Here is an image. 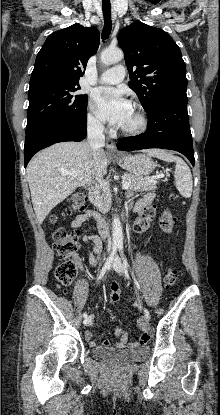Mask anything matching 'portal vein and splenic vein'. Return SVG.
<instances>
[{
    "instance_id": "18ae733b",
    "label": "portal vein and splenic vein",
    "mask_w": 220,
    "mask_h": 415,
    "mask_svg": "<svg viewBox=\"0 0 220 415\" xmlns=\"http://www.w3.org/2000/svg\"><path fill=\"white\" fill-rule=\"evenodd\" d=\"M64 174L65 175H71L73 177H76L79 173L78 172H66ZM163 177H164V175L161 173V174H159L157 176L146 177V180L151 181V182H155L154 180L156 178H163ZM96 179L100 183L101 186H103V187H106L107 186V182H104L101 178L97 177ZM130 185H131V182L130 181L124 182L123 185H122V189H128Z\"/></svg>"
}]
</instances>
